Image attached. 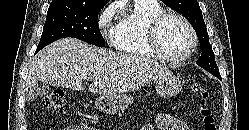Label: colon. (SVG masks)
<instances>
[{
	"mask_svg": "<svg viewBox=\"0 0 249 130\" xmlns=\"http://www.w3.org/2000/svg\"><path fill=\"white\" fill-rule=\"evenodd\" d=\"M190 90L200 99V114L203 120L204 130H216V123L210 108L208 107L209 93L205 87L198 82H193ZM64 92L61 89L53 90L51 93L43 97V105L55 112H62L65 106Z\"/></svg>",
	"mask_w": 249,
	"mask_h": 130,
	"instance_id": "colon-1",
	"label": "colon"
}]
</instances>
